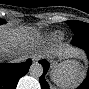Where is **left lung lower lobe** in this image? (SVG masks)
<instances>
[{
    "label": "left lung lower lobe",
    "mask_w": 89,
    "mask_h": 89,
    "mask_svg": "<svg viewBox=\"0 0 89 89\" xmlns=\"http://www.w3.org/2000/svg\"><path fill=\"white\" fill-rule=\"evenodd\" d=\"M72 44L83 48L89 57V33H78L74 34ZM39 63L43 66V75L40 77L39 81L43 89H48V84L46 83L44 77L49 69V63L46 60H40ZM77 89H89V74L85 81Z\"/></svg>",
    "instance_id": "left-lung-lower-lobe-1"
}]
</instances>
